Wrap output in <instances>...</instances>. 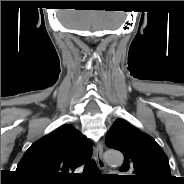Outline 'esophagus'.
<instances>
[{"label":"esophagus","instance_id":"obj_1","mask_svg":"<svg viewBox=\"0 0 184 184\" xmlns=\"http://www.w3.org/2000/svg\"><path fill=\"white\" fill-rule=\"evenodd\" d=\"M93 157L96 160L98 166L101 169H105L106 168V164L103 160V146L101 143H98L95 147L94 153H93Z\"/></svg>","mask_w":184,"mask_h":184}]
</instances>
